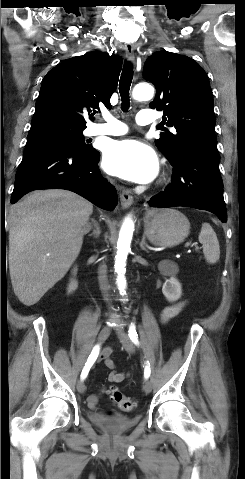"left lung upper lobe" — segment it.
I'll return each instance as SVG.
<instances>
[{
    "mask_svg": "<svg viewBox=\"0 0 245 479\" xmlns=\"http://www.w3.org/2000/svg\"><path fill=\"white\" fill-rule=\"evenodd\" d=\"M143 76L156 87L151 108L163 111L162 123L176 129L164 130L156 146L170 163L198 147H217L216 118L208 77L193 59L168 51L147 58Z\"/></svg>",
    "mask_w": 245,
    "mask_h": 479,
    "instance_id": "1",
    "label": "left lung upper lobe"
}]
</instances>
